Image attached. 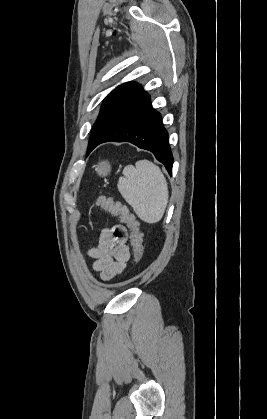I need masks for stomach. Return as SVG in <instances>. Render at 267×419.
<instances>
[{
	"label": "stomach",
	"mask_w": 267,
	"mask_h": 419,
	"mask_svg": "<svg viewBox=\"0 0 267 419\" xmlns=\"http://www.w3.org/2000/svg\"><path fill=\"white\" fill-rule=\"evenodd\" d=\"M110 169L111 166L107 160H102L95 166L96 172L101 176L107 175L110 172Z\"/></svg>",
	"instance_id": "0dacf381"
}]
</instances>
